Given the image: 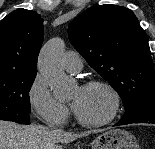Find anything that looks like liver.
<instances>
[{
    "mask_svg": "<svg viewBox=\"0 0 155 149\" xmlns=\"http://www.w3.org/2000/svg\"><path fill=\"white\" fill-rule=\"evenodd\" d=\"M104 130L70 133L50 130L42 125H19L0 121V149H62L59 143H70L80 137Z\"/></svg>",
    "mask_w": 155,
    "mask_h": 149,
    "instance_id": "1",
    "label": "liver"
}]
</instances>
